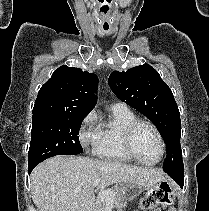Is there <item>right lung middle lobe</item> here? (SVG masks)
Segmentation results:
<instances>
[{"mask_svg": "<svg viewBox=\"0 0 209 211\" xmlns=\"http://www.w3.org/2000/svg\"><path fill=\"white\" fill-rule=\"evenodd\" d=\"M86 116L33 117L29 166H36L55 155H77L83 152L78 134Z\"/></svg>", "mask_w": 209, "mask_h": 211, "instance_id": "right-lung-middle-lobe-1", "label": "right lung middle lobe"}]
</instances>
